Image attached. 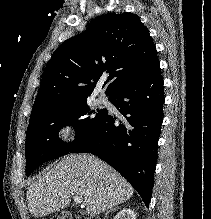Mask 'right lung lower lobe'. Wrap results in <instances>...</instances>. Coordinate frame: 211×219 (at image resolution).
I'll return each mask as SVG.
<instances>
[{
  "label": "right lung lower lobe",
  "mask_w": 211,
  "mask_h": 219,
  "mask_svg": "<svg viewBox=\"0 0 211 219\" xmlns=\"http://www.w3.org/2000/svg\"><path fill=\"white\" fill-rule=\"evenodd\" d=\"M164 100L157 60L110 96L109 101L124 117L121 124H115L117 118L107 111L96 127L70 150L90 152L110 164L130 182L147 207L154 185Z\"/></svg>",
  "instance_id": "obj_1"
}]
</instances>
